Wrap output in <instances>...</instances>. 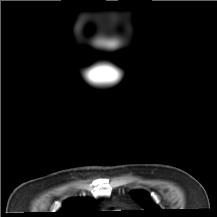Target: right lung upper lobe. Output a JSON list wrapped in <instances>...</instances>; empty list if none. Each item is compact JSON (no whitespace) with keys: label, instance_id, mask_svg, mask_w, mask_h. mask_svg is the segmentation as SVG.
Segmentation results:
<instances>
[{"label":"right lung upper lobe","instance_id":"1","mask_svg":"<svg viewBox=\"0 0 217 217\" xmlns=\"http://www.w3.org/2000/svg\"><path fill=\"white\" fill-rule=\"evenodd\" d=\"M97 206L95 200L87 198L69 199L63 203L62 208L54 213L55 217H93Z\"/></svg>","mask_w":217,"mask_h":217}]
</instances>
